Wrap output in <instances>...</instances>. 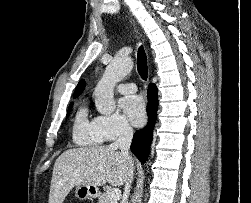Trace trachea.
<instances>
[{"mask_svg":"<svg viewBox=\"0 0 251 203\" xmlns=\"http://www.w3.org/2000/svg\"><path fill=\"white\" fill-rule=\"evenodd\" d=\"M137 70L143 80H147L148 76V65L147 56L143 46H140L137 54Z\"/></svg>","mask_w":251,"mask_h":203,"instance_id":"3493384b","label":"trachea"}]
</instances>
